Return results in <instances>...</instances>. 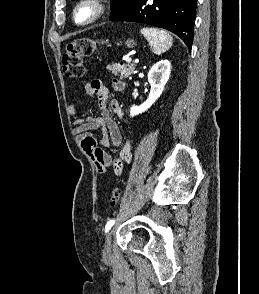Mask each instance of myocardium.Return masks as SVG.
<instances>
[{
  "instance_id": "obj_1",
  "label": "myocardium",
  "mask_w": 259,
  "mask_h": 294,
  "mask_svg": "<svg viewBox=\"0 0 259 294\" xmlns=\"http://www.w3.org/2000/svg\"><path fill=\"white\" fill-rule=\"evenodd\" d=\"M87 7L92 9V14L84 20H79V13ZM106 11V0H80L73 10L72 19L75 24L86 26L99 20L106 13Z\"/></svg>"
}]
</instances>
